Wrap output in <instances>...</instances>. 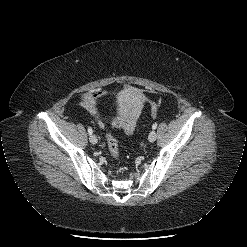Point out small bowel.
Listing matches in <instances>:
<instances>
[{
    "instance_id": "small-bowel-1",
    "label": "small bowel",
    "mask_w": 247,
    "mask_h": 247,
    "mask_svg": "<svg viewBox=\"0 0 247 247\" xmlns=\"http://www.w3.org/2000/svg\"><path fill=\"white\" fill-rule=\"evenodd\" d=\"M106 96L107 93L103 90L87 92L80 96V103L91 115L97 116L99 105Z\"/></svg>"
}]
</instances>
